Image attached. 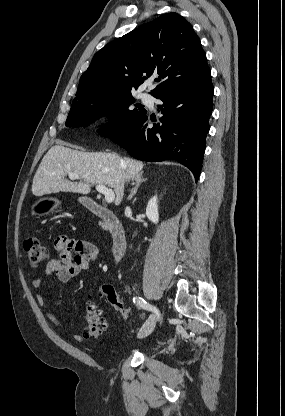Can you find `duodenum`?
I'll use <instances>...</instances> for the list:
<instances>
[{"label":"duodenum","mask_w":285,"mask_h":416,"mask_svg":"<svg viewBox=\"0 0 285 416\" xmlns=\"http://www.w3.org/2000/svg\"><path fill=\"white\" fill-rule=\"evenodd\" d=\"M81 204L83 206L89 205L92 212L104 222L105 228L112 239L113 256L116 260H120L125 253L127 241L124 228L117 216L104 206L95 203L93 198L83 197Z\"/></svg>","instance_id":"duodenum-1"}]
</instances>
